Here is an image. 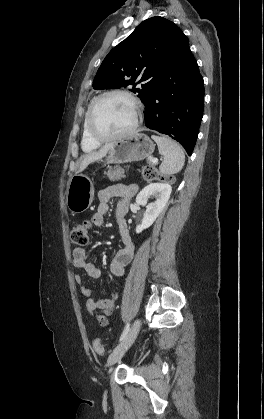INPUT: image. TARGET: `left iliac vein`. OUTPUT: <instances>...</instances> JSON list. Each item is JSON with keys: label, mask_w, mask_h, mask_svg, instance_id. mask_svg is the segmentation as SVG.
Returning a JSON list of instances; mask_svg holds the SVG:
<instances>
[{"label": "left iliac vein", "mask_w": 264, "mask_h": 419, "mask_svg": "<svg viewBox=\"0 0 264 419\" xmlns=\"http://www.w3.org/2000/svg\"><path fill=\"white\" fill-rule=\"evenodd\" d=\"M141 322L139 319H136L131 326V329L125 336V338L118 344V346L112 351V353L108 357V366H111L118 362L126 351L131 347L133 342L135 341L138 332L140 330Z\"/></svg>", "instance_id": "1"}]
</instances>
